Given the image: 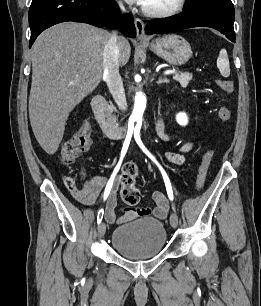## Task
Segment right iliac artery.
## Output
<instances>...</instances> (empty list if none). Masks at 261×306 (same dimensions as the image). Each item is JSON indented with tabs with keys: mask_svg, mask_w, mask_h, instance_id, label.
I'll return each mask as SVG.
<instances>
[{
	"mask_svg": "<svg viewBox=\"0 0 261 306\" xmlns=\"http://www.w3.org/2000/svg\"><path fill=\"white\" fill-rule=\"evenodd\" d=\"M131 137H132V130L128 132L127 136H126V139L124 141V144H123V147H122V151H121V157H120V160L116 166V168L114 169V172L106 186V193L104 195V199L107 198V195L109 194L110 190H111V187H112V183H113V179L116 175V173L118 172L120 166H121V163H122V160L127 152V149H128V146L130 144V140H131ZM103 214H104V210L103 209H100L99 212H98V216H97V223L100 224L101 221H102V218H103Z\"/></svg>",
	"mask_w": 261,
	"mask_h": 306,
	"instance_id": "1",
	"label": "right iliac artery"
}]
</instances>
